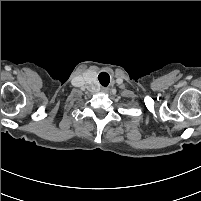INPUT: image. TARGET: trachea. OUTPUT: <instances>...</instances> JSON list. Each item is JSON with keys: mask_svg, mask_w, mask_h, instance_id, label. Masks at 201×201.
<instances>
[{"mask_svg": "<svg viewBox=\"0 0 201 201\" xmlns=\"http://www.w3.org/2000/svg\"><path fill=\"white\" fill-rule=\"evenodd\" d=\"M105 76L109 77V75L107 73H104V72L100 73L99 76H98V79H99V81L101 82V84L103 86H107L109 81H110V78L108 80L107 77L105 78Z\"/></svg>", "mask_w": 201, "mask_h": 201, "instance_id": "obj_1", "label": "trachea"}]
</instances>
